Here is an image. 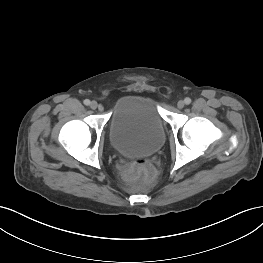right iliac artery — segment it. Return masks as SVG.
Wrapping results in <instances>:
<instances>
[{
    "mask_svg": "<svg viewBox=\"0 0 263 263\" xmlns=\"http://www.w3.org/2000/svg\"><path fill=\"white\" fill-rule=\"evenodd\" d=\"M84 104L87 106L90 105V100L89 99L84 100Z\"/></svg>",
    "mask_w": 263,
    "mask_h": 263,
    "instance_id": "obj_1",
    "label": "right iliac artery"
}]
</instances>
